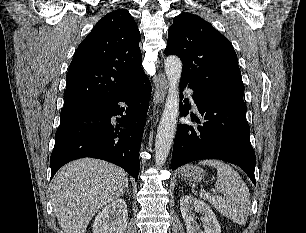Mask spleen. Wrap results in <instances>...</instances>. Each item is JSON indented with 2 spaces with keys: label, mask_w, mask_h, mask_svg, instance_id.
<instances>
[{
  "label": "spleen",
  "mask_w": 306,
  "mask_h": 233,
  "mask_svg": "<svg viewBox=\"0 0 306 233\" xmlns=\"http://www.w3.org/2000/svg\"><path fill=\"white\" fill-rule=\"evenodd\" d=\"M200 165L217 170L215 188L223 195H212L205 190L200 197L208 200L216 210L237 225H245L251 208L249 189L242 177L229 165L219 160H202Z\"/></svg>",
  "instance_id": "3e777b00"
}]
</instances>
